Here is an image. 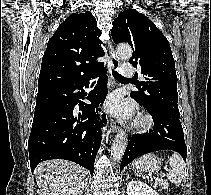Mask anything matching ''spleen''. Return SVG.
Masks as SVG:
<instances>
[{
  "label": "spleen",
  "instance_id": "3e777b00",
  "mask_svg": "<svg viewBox=\"0 0 211 195\" xmlns=\"http://www.w3.org/2000/svg\"><path fill=\"white\" fill-rule=\"evenodd\" d=\"M169 165L171 166V171L167 174L168 179L176 185L181 184L183 177H184V167L185 163L182 157L174 153L169 158Z\"/></svg>",
  "mask_w": 211,
  "mask_h": 195
}]
</instances>
